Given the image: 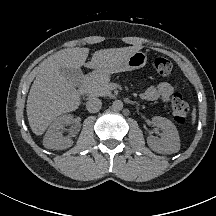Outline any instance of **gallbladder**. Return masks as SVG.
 <instances>
[{"instance_id": "obj_1", "label": "gallbladder", "mask_w": 216, "mask_h": 216, "mask_svg": "<svg viewBox=\"0 0 216 216\" xmlns=\"http://www.w3.org/2000/svg\"><path fill=\"white\" fill-rule=\"evenodd\" d=\"M61 74L73 85L79 86L83 80V73L79 68H60Z\"/></svg>"}]
</instances>
